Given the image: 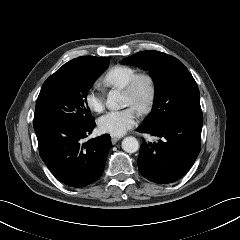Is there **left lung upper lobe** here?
I'll return each instance as SVG.
<instances>
[{
  "label": "left lung upper lobe",
  "instance_id": "1",
  "mask_svg": "<svg viewBox=\"0 0 240 240\" xmlns=\"http://www.w3.org/2000/svg\"><path fill=\"white\" fill-rule=\"evenodd\" d=\"M123 63L149 71L155 84L153 109L141 125L160 126L177 119L203 122L198 86L178 59L142 51L124 58Z\"/></svg>",
  "mask_w": 240,
  "mask_h": 240
}]
</instances>
